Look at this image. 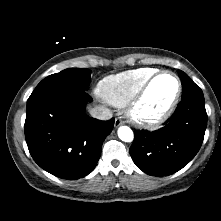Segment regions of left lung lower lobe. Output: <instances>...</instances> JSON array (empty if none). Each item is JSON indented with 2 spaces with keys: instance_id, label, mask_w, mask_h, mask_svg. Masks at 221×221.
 <instances>
[{
  "instance_id": "1",
  "label": "left lung lower lobe",
  "mask_w": 221,
  "mask_h": 221,
  "mask_svg": "<svg viewBox=\"0 0 221 221\" xmlns=\"http://www.w3.org/2000/svg\"><path fill=\"white\" fill-rule=\"evenodd\" d=\"M207 126L204 98L182 99L172 117L156 131L135 130L129 150L136 164L151 176L171 175L199 151Z\"/></svg>"
}]
</instances>
